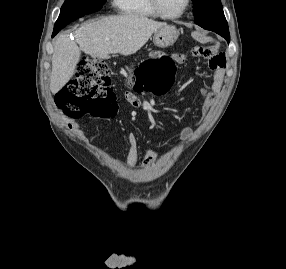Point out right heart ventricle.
<instances>
[{"label": "right heart ventricle", "mask_w": 286, "mask_h": 269, "mask_svg": "<svg viewBox=\"0 0 286 269\" xmlns=\"http://www.w3.org/2000/svg\"><path fill=\"white\" fill-rule=\"evenodd\" d=\"M117 10L133 18L159 17L150 4V0H114Z\"/></svg>", "instance_id": "right-heart-ventricle-1"}]
</instances>
